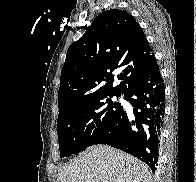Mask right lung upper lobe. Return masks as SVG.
I'll return each instance as SVG.
<instances>
[{
  "mask_svg": "<svg viewBox=\"0 0 196 182\" xmlns=\"http://www.w3.org/2000/svg\"><path fill=\"white\" fill-rule=\"evenodd\" d=\"M139 24L124 10L100 13L68 49L61 71L59 114L104 95L125 94L155 62ZM115 69L120 84L112 87Z\"/></svg>",
  "mask_w": 196,
  "mask_h": 182,
  "instance_id": "cb5924a9",
  "label": "right lung upper lobe"
}]
</instances>
